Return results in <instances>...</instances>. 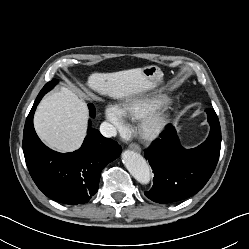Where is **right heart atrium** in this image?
Wrapping results in <instances>:
<instances>
[{
	"label": "right heart atrium",
	"instance_id": "obj_1",
	"mask_svg": "<svg viewBox=\"0 0 249 249\" xmlns=\"http://www.w3.org/2000/svg\"><path fill=\"white\" fill-rule=\"evenodd\" d=\"M108 121L117 129H123L125 126L124 116L116 106H108L105 111Z\"/></svg>",
	"mask_w": 249,
	"mask_h": 249
}]
</instances>
